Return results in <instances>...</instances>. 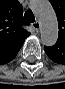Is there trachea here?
Listing matches in <instances>:
<instances>
[{
    "label": "trachea",
    "mask_w": 65,
    "mask_h": 89,
    "mask_svg": "<svg viewBox=\"0 0 65 89\" xmlns=\"http://www.w3.org/2000/svg\"><path fill=\"white\" fill-rule=\"evenodd\" d=\"M24 16H25L26 21L35 22V17L31 10H27Z\"/></svg>",
    "instance_id": "obj_1"
}]
</instances>
